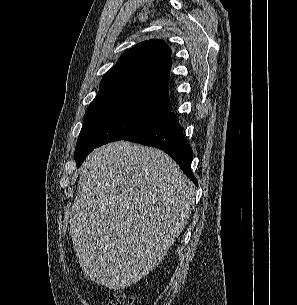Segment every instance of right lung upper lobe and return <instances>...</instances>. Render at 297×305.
<instances>
[{"mask_svg": "<svg viewBox=\"0 0 297 305\" xmlns=\"http://www.w3.org/2000/svg\"><path fill=\"white\" fill-rule=\"evenodd\" d=\"M171 50L160 39L137 44L124 52L102 78L100 91L89 106L123 97L148 98L169 103Z\"/></svg>", "mask_w": 297, "mask_h": 305, "instance_id": "cb5924a9", "label": "right lung upper lobe"}]
</instances>
